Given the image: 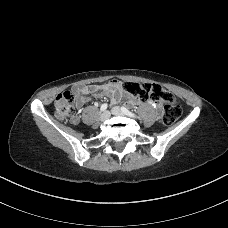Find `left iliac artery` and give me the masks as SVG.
Returning <instances> with one entry per match:
<instances>
[{
    "label": "left iliac artery",
    "instance_id": "1",
    "mask_svg": "<svg viewBox=\"0 0 228 228\" xmlns=\"http://www.w3.org/2000/svg\"><path fill=\"white\" fill-rule=\"evenodd\" d=\"M121 109H122V111H123L126 115H128V116H130V117L137 118V115H136L135 113L129 111V110L126 109L125 107H122Z\"/></svg>",
    "mask_w": 228,
    "mask_h": 228
}]
</instances>
